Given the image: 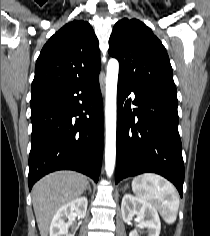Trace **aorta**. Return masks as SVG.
<instances>
[{"label":"aorta","instance_id":"obj_1","mask_svg":"<svg viewBox=\"0 0 210 236\" xmlns=\"http://www.w3.org/2000/svg\"><path fill=\"white\" fill-rule=\"evenodd\" d=\"M119 63L111 58L107 66L106 76V144H105V169L108 177H111L116 161V111H117V82Z\"/></svg>","mask_w":210,"mask_h":236}]
</instances>
